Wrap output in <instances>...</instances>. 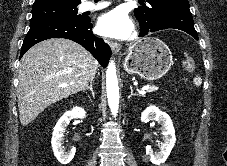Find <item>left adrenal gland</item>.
Masks as SVG:
<instances>
[{"label":"left adrenal gland","mask_w":227,"mask_h":166,"mask_svg":"<svg viewBox=\"0 0 227 166\" xmlns=\"http://www.w3.org/2000/svg\"><path fill=\"white\" fill-rule=\"evenodd\" d=\"M130 91H131V94L128 96L129 99H130L132 96L136 95V94L133 93L132 86H130Z\"/></svg>","instance_id":"left-adrenal-gland-1"}]
</instances>
